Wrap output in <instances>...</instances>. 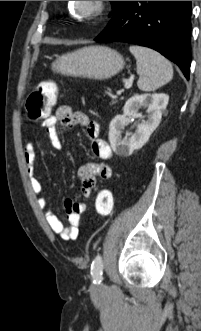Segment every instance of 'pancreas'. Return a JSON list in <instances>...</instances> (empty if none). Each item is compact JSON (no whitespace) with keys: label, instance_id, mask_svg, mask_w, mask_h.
<instances>
[{"label":"pancreas","instance_id":"obj_1","mask_svg":"<svg viewBox=\"0 0 201 331\" xmlns=\"http://www.w3.org/2000/svg\"><path fill=\"white\" fill-rule=\"evenodd\" d=\"M116 98H117V96H114V100H112V102H111L112 104L117 102Z\"/></svg>","mask_w":201,"mask_h":331}]
</instances>
